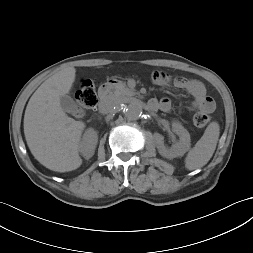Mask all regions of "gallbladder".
Returning <instances> with one entry per match:
<instances>
[{
    "mask_svg": "<svg viewBox=\"0 0 253 253\" xmlns=\"http://www.w3.org/2000/svg\"><path fill=\"white\" fill-rule=\"evenodd\" d=\"M60 105L64 112L73 113L76 109V103L69 95L60 96Z\"/></svg>",
    "mask_w": 253,
    "mask_h": 253,
    "instance_id": "bac80fb5",
    "label": "gallbladder"
}]
</instances>
